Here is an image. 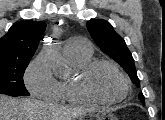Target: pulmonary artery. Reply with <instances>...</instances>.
Segmentation results:
<instances>
[{
  "mask_svg": "<svg viewBox=\"0 0 165 120\" xmlns=\"http://www.w3.org/2000/svg\"><path fill=\"white\" fill-rule=\"evenodd\" d=\"M64 51L67 53H89L91 52V46L86 39L73 37L66 42Z\"/></svg>",
  "mask_w": 165,
  "mask_h": 120,
  "instance_id": "obj_1",
  "label": "pulmonary artery"
}]
</instances>
